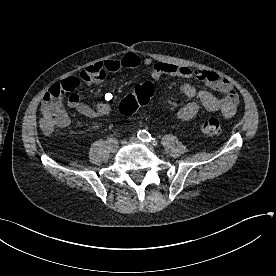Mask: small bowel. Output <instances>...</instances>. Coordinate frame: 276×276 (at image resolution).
<instances>
[{"label": "small bowel", "instance_id": "obj_1", "mask_svg": "<svg viewBox=\"0 0 276 276\" xmlns=\"http://www.w3.org/2000/svg\"><path fill=\"white\" fill-rule=\"evenodd\" d=\"M140 65L150 68L151 76L158 79L163 75L180 77L184 79L195 78L204 82L210 89L219 92V97L208 91L197 90L191 83H183L182 93L192 100L182 106L177 117L182 121L192 119L201 109L208 112L220 113L224 117H232L236 113L239 101L238 95L232 84L219 74L206 70H193L186 66L175 65L166 62H154L150 57L142 58L136 53H127L120 59H107L96 62L84 68L79 74L70 76L64 80H77L88 87L102 83L105 78L121 69H132ZM79 85V86H80ZM48 92L42 102V110L47 105ZM113 93L107 92L102 98L90 106L81 101L77 93H71L67 104L82 116L89 119L102 118L110 114L112 110Z\"/></svg>", "mask_w": 276, "mask_h": 276}]
</instances>
